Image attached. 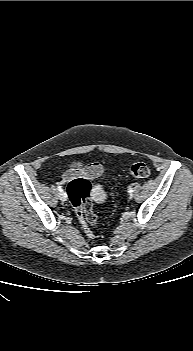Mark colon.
<instances>
[{"label":"colon","mask_w":193,"mask_h":351,"mask_svg":"<svg viewBox=\"0 0 193 351\" xmlns=\"http://www.w3.org/2000/svg\"><path fill=\"white\" fill-rule=\"evenodd\" d=\"M129 172L133 177L139 179H146L151 175L150 168L143 162L132 164ZM67 191L79 222L86 235L92 238L91 227L98 225V219L93 211L91 183L82 177L74 178L68 183Z\"/></svg>","instance_id":"obj_1"}]
</instances>
